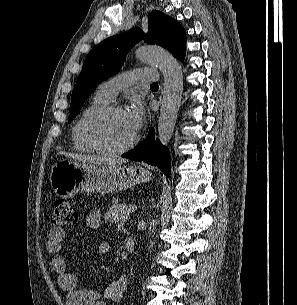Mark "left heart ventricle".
I'll return each instance as SVG.
<instances>
[{
  "label": "left heart ventricle",
  "instance_id": "obj_1",
  "mask_svg": "<svg viewBox=\"0 0 297 305\" xmlns=\"http://www.w3.org/2000/svg\"><path fill=\"white\" fill-rule=\"evenodd\" d=\"M90 133L109 148L121 147L135 135L125 112H115L98 119L90 126Z\"/></svg>",
  "mask_w": 297,
  "mask_h": 305
}]
</instances>
